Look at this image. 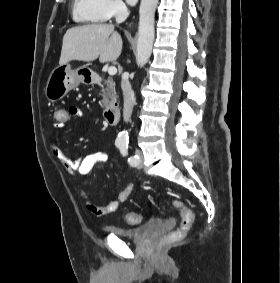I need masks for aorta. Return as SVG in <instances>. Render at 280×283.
I'll return each instance as SVG.
<instances>
[{"label":"aorta","instance_id":"obj_1","mask_svg":"<svg viewBox=\"0 0 280 283\" xmlns=\"http://www.w3.org/2000/svg\"><path fill=\"white\" fill-rule=\"evenodd\" d=\"M158 0H141L139 10V28L136 62L143 67L150 59L154 42V20ZM128 133H119L117 142L126 143Z\"/></svg>","mask_w":280,"mask_h":283}]
</instances>
